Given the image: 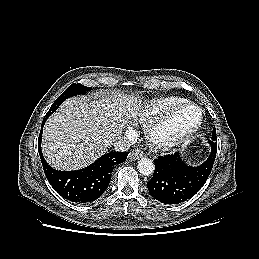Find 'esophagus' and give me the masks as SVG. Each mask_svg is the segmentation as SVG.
I'll return each mask as SVG.
<instances>
[{
    "mask_svg": "<svg viewBox=\"0 0 259 259\" xmlns=\"http://www.w3.org/2000/svg\"><path fill=\"white\" fill-rule=\"evenodd\" d=\"M143 156V152H141L140 150H132L129 155L128 158L130 160H138L139 158H141Z\"/></svg>",
    "mask_w": 259,
    "mask_h": 259,
    "instance_id": "34e87169",
    "label": "esophagus"
}]
</instances>
